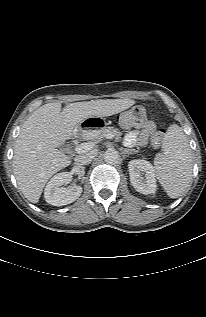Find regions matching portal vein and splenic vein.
Here are the masks:
<instances>
[{"instance_id":"18ae733b","label":"portal vein and splenic vein","mask_w":206,"mask_h":317,"mask_svg":"<svg viewBox=\"0 0 206 317\" xmlns=\"http://www.w3.org/2000/svg\"><path fill=\"white\" fill-rule=\"evenodd\" d=\"M105 137L107 139H112L114 136L112 134H107ZM93 147H94L93 142L82 143V144L78 145L75 150L77 153H83V152H86L88 150H91Z\"/></svg>"}]
</instances>
